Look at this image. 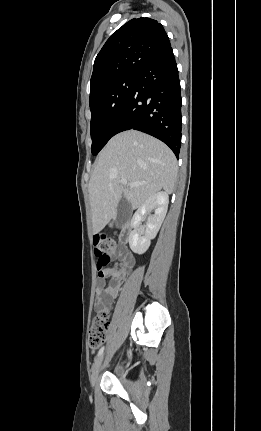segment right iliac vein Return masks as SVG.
I'll use <instances>...</instances> for the list:
<instances>
[{"label": "right iliac vein", "instance_id": "1", "mask_svg": "<svg viewBox=\"0 0 261 431\" xmlns=\"http://www.w3.org/2000/svg\"><path fill=\"white\" fill-rule=\"evenodd\" d=\"M103 358H104L103 355L100 356L97 359V361L95 362V364L93 365L92 374H91V377H90L92 387H94L95 384H96V382H97L98 375H99V372H100V369H101V365H102V362H103Z\"/></svg>", "mask_w": 261, "mask_h": 431}]
</instances>
